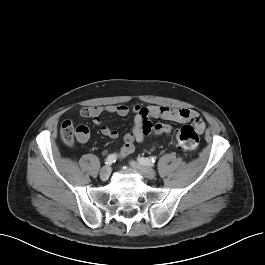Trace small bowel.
Listing matches in <instances>:
<instances>
[{
  "mask_svg": "<svg viewBox=\"0 0 265 265\" xmlns=\"http://www.w3.org/2000/svg\"><path fill=\"white\" fill-rule=\"evenodd\" d=\"M116 114L126 116L130 112L135 115L132 130L124 135V142L121 146L118 157L125 158L132 154L135 150V143H141L144 139L151 135H167L171 133V127L168 124H152V119L162 118L175 122H192L198 131L205 130V122L198 112L188 108H172L148 106H134L132 110L126 105H108L105 107L92 106L84 107L80 110V115L90 118L92 122L100 127L101 133L110 139H116L118 132L108 126L102 124L101 115L103 113ZM90 136L89 128L86 125H78L76 127V138L79 143H85Z\"/></svg>",
  "mask_w": 265,
  "mask_h": 265,
  "instance_id": "c3829d8e",
  "label": "small bowel"
}]
</instances>
